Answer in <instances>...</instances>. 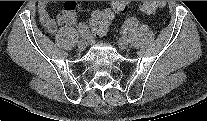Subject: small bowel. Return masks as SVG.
Masks as SVG:
<instances>
[{
  "mask_svg": "<svg viewBox=\"0 0 207 121\" xmlns=\"http://www.w3.org/2000/svg\"><path fill=\"white\" fill-rule=\"evenodd\" d=\"M48 5V1H40L38 3L39 19L41 25L48 33L54 34L59 27L72 26L76 23V13L78 8L76 1H66L64 10L55 18L49 14Z\"/></svg>",
  "mask_w": 207,
  "mask_h": 121,
  "instance_id": "c3829d8e",
  "label": "small bowel"
}]
</instances>
